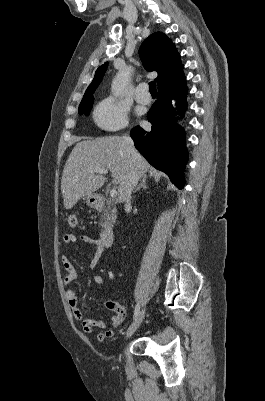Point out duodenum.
<instances>
[{"mask_svg":"<svg viewBox=\"0 0 265 401\" xmlns=\"http://www.w3.org/2000/svg\"><path fill=\"white\" fill-rule=\"evenodd\" d=\"M97 207H101L102 203L98 201L96 203ZM114 233L111 229H104L100 234V241L102 245L106 248L110 247L114 242Z\"/></svg>","mask_w":265,"mask_h":401,"instance_id":"410a0bca","label":"duodenum"}]
</instances>
